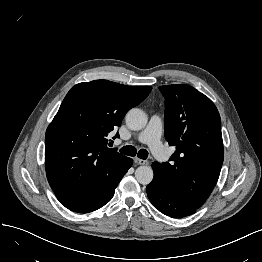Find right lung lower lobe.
<instances>
[{
  "mask_svg": "<svg viewBox=\"0 0 262 262\" xmlns=\"http://www.w3.org/2000/svg\"><path fill=\"white\" fill-rule=\"evenodd\" d=\"M132 163V159L128 157L123 161L113 185L105 192L99 194H56V197L62 205L74 212L87 213L97 210L111 200L115 188Z\"/></svg>",
  "mask_w": 262,
  "mask_h": 262,
  "instance_id": "1",
  "label": "right lung lower lobe"
}]
</instances>
